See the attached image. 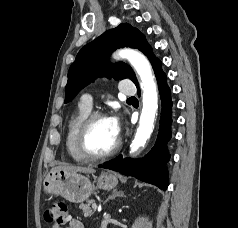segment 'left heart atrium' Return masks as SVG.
Listing matches in <instances>:
<instances>
[{
    "label": "left heart atrium",
    "instance_id": "obj_1",
    "mask_svg": "<svg viewBox=\"0 0 238 228\" xmlns=\"http://www.w3.org/2000/svg\"><path fill=\"white\" fill-rule=\"evenodd\" d=\"M108 121L110 123V126L112 128V131L116 137L119 136L120 131H121V125H120V120L118 116L113 115L108 118Z\"/></svg>",
    "mask_w": 238,
    "mask_h": 228
}]
</instances>
